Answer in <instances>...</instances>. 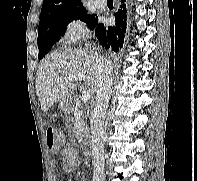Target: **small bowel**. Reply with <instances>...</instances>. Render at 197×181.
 <instances>
[{"label":"small bowel","mask_w":197,"mask_h":181,"mask_svg":"<svg viewBox=\"0 0 197 181\" xmlns=\"http://www.w3.org/2000/svg\"><path fill=\"white\" fill-rule=\"evenodd\" d=\"M59 152V150L57 151ZM52 151V153H57ZM62 157V166L63 170L67 173L75 171L79 166V159L75 153V151L69 147L65 146L60 151ZM50 165L52 168H55L57 165V161L54 158L50 159Z\"/></svg>","instance_id":"1"}]
</instances>
